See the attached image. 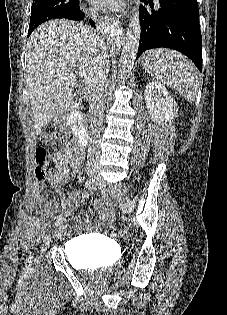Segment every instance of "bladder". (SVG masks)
Masks as SVG:
<instances>
[{
    "mask_svg": "<svg viewBox=\"0 0 227 315\" xmlns=\"http://www.w3.org/2000/svg\"><path fill=\"white\" fill-rule=\"evenodd\" d=\"M70 246L75 249L71 262L79 269L108 267L116 259L115 249L109 243L94 237L73 239Z\"/></svg>",
    "mask_w": 227,
    "mask_h": 315,
    "instance_id": "obj_1",
    "label": "bladder"
}]
</instances>
